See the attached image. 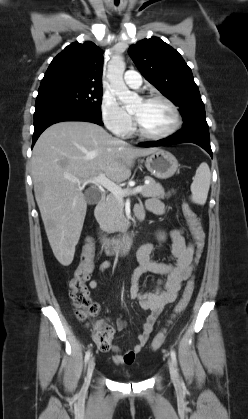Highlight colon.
I'll return each instance as SVG.
<instances>
[{
  "mask_svg": "<svg viewBox=\"0 0 248 419\" xmlns=\"http://www.w3.org/2000/svg\"><path fill=\"white\" fill-rule=\"evenodd\" d=\"M183 215L188 224L191 235L195 241L197 248V256L199 257L203 248L204 233L201 227L200 219L187 203L182 205ZM95 243L92 238H87L81 255V262L74 272L73 277L69 282L70 298L76 308V317L83 322H91L97 315L99 307L90 298L87 289V281L90 278L91 271L94 265ZM194 291V280L187 281L182 296L174 309L170 323L184 312L188 306ZM92 338L94 343L99 345H106L112 340L113 329L110 325L102 322L91 324ZM167 336V329L160 331L151 343L153 351L160 348Z\"/></svg>",
  "mask_w": 248,
  "mask_h": 419,
  "instance_id": "colon-1",
  "label": "colon"
}]
</instances>
